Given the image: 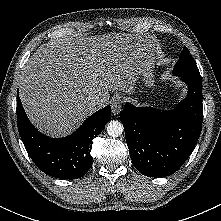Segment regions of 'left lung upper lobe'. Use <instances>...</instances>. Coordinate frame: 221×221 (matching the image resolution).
<instances>
[{
	"instance_id": "obj_1",
	"label": "left lung upper lobe",
	"mask_w": 221,
	"mask_h": 221,
	"mask_svg": "<svg viewBox=\"0 0 221 221\" xmlns=\"http://www.w3.org/2000/svg\"><path fill=\"white\" fill-rule=\"evenodd\" d=\"M173 74L177 76H200L197 65L186 47H184L180 54L179 60L174 67Z\"/></svg>"
}]
</instances>
